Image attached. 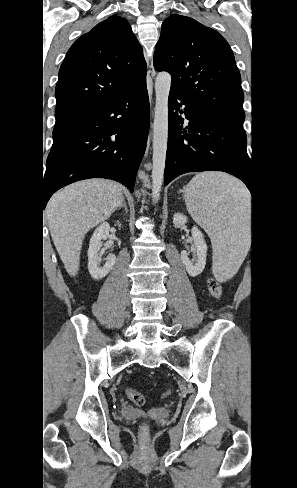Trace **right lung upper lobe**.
Here are the masks:
<instances>
[{
    "label": "right lung upper lobe",
    "instance_id": "obj_1",
    "mask_svg": "<svg viewBox=\"0 0 297 488\" xmlns=\"http://www.w3.org/2000/svg\"><path fill=\"white\" fill-rule=\"evenodd\" d=\"M146 79L142 47L128 21L113 15L78 38L59 70L55 96L61 128Z\"/></svg>",
    "mask_w": 297,
    "mask_h": 488
}]
</instances>
